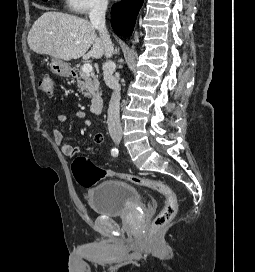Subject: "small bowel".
<instances>
[{
  "label": "small bowel",
  "mask_w": 255,
  "mask_h": 272,
  "mask_svg": "<svg viewBox=\"0 0 255 272\" xmlns=\"http://www.w3.org/2000/svg\"><path fill=\"white\" fill-rule=\"evenodd\" d=\"M75 117L77 119H85L86 113L83 110H77L75 112ZM67 121H68V116L65 114H59L56 117L57 124H64ZM52 134H53L55 143L60 147V150L63 155H65L66 157H74L77 154L78 148L65 143L64 136L58 128L54 127L52 129ZM104 140H105L104 135L101 133H97L93 137V142L98 145L103 144Z\"/></svg>",
  "instance_id": "c3829d8e"
}]
</instances>
